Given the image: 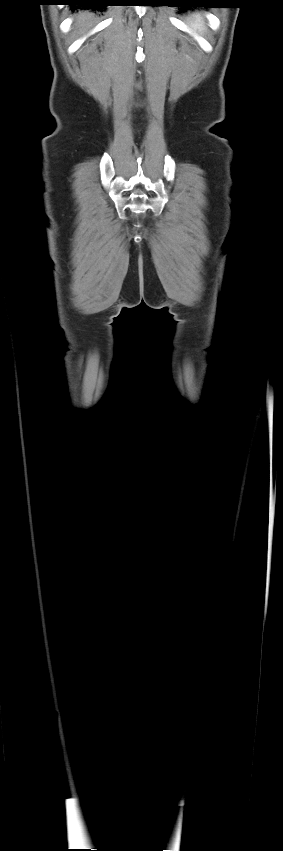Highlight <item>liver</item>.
I'll return each mask as SVG.
<instances>
[{"label": "liver", "mask_w": 283, "mask_h": 851, "mask_svg": "<svg viewBox=\"0 0 283 851\" xmlns=\"http://www.w3.org/2000/svg\"><path fill=\"white\" fill-rule=\"evenodd\" d=\"M94 16L89 12H79L75 16L76 37L85 35L93 26Z\"/></svg>", "instance_id": "6515ba94"}]
</instances>
